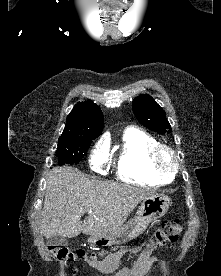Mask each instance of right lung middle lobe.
I'll list each match as a JSON object with an SVG mask.
<instances>
[{"label":"right lung middle lobe","instance_id":"obj_1","mask_svg":"<svg viewBox=\"0 0 221 276\" xmlns=\"http://www.w3.org/2000/svg\"><path fill=\"white\" fill-rule=\"evenodd\" d=\"M91 139L58 141L56 157L58 165L78 164L90 148Z\"/></svg>","mask_w":221,"mask_h":276}]
</instances>
